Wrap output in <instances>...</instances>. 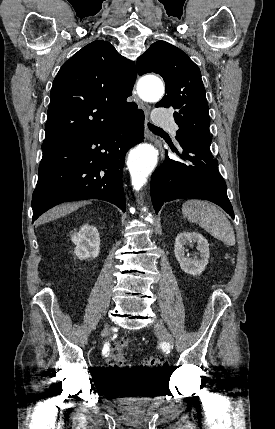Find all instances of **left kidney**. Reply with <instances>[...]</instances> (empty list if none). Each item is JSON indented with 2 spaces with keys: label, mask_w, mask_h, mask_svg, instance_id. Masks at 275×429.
<instances>
[{
  "label": "left kidney",
  "mask_w": 275,
  "mask_h": 429,
  "mask_svg": "<svg viewBox=\"0 0 275 429\" xmlns=\"http://www.w3.org/2000/svg\"><path fill=\"white\" fill-rule=\"evenodd\" d=\"M197 243L200 251L199 257L188 258L185 256V245ZM174 253L181 269L190 275H200L208 264L209 243L197 232H181L177 235L174 244Z\"/></svg>",
  "instance_id": "obj_1"
}]
</instances>
